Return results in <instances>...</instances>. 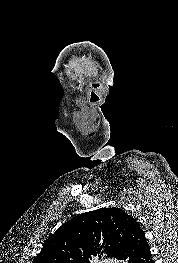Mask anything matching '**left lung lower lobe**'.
Here are the masks:
<instances>
[{"mask_svg": "<svg viewBox=\"0 0 178 263\" xmlns=\"http://www.w3.org/2000/svg\"><path fill=\"white\" fill-rule=\"evenodd\" d=\"M114 258L121 263H154L145 234L136 219L129 225Z\"/></svg>", "mask_w": 178, "mask_h": 263, "instance_id": "left-lung-lower-lobe-1", "label": "left lung lower lobe"}]
</instances>
